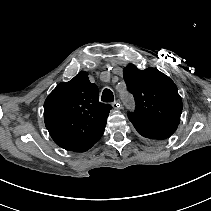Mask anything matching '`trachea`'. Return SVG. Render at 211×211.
Here are the masks:
<instances>
[{
    "instance_id": "obj_1",
    "label": "trachea",
    "mask_w": 211,
    "mask_h": 211,
    "mask_svg": "<svg viewBox=\"0 0 211 211\" xmlns=\"http://www.w3.org/2000/svg\"><path fill=\"white\" fill-rule=\"evenodd\" d=\"M101 100L103 102H113L114 101L113 92L110 89H107V88L104 89Z\"/></svg>"
}]
</instances>
